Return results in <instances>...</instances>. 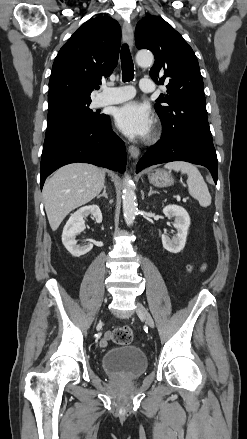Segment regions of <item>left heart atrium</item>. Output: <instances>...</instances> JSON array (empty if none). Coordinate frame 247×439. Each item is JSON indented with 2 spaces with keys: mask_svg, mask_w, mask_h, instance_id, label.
<instances>
[{
  "mask_svg": "<svg viewBox=\"0 0 247 439\" xmlns=\"http://www.w3.org/2000/svg\"><path fill=\"white\" fill-rule=\"evenodd\" d=\"M117 127L129 137H146L152 129V117L147 106L129 102L115 112Z\"/></svg>",
  "mask_w": 247,
  "mask_h": 439,
  "instance_id": "1",
  "label": "left heart atrium"
}]
</instances>
